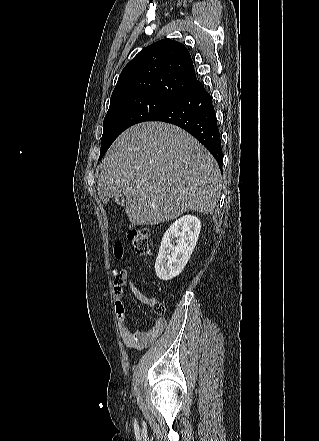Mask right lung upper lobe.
I'll return each mask as SVG.
<instances>
[{"mask_svg":"<svg viewBox=\"0 0 319 441\" xmlns=\"http://www.w3.org/2000/svg\"><path fill=\"white\" fill-rule=\"evenodd\" d=\"M196 80L187 48L174 40H160L141 50L124 67L110 107L145 96L173 101Z\"/></svg>","mask_w":319,"mask_h":441,"instance_id":"1","label":"right lung upper lobe"}]
</instances>
